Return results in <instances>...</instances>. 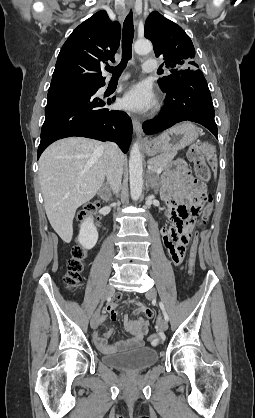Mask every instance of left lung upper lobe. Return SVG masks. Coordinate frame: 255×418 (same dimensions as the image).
Wrapping results in <instances>:
<instances>
[{"mask_svg":"<svg viewBox=\"0 0 255 418\" xmlns=\"http://www.w3.org/2000/svg\"><path fill=\"white\" fill-rule=\"evenodd\" d=\"M145 37L153 43L156 57H162L170 74L158 79L161 89L166 92L180 76L200 70L194 61L195 49L185 31L162 16L152 12L146 20Z\"/></svg>","mask_w":255,"mask_h":418,"instance_id":"left-lung-upper-lobe-1","label":"left lung upper lobe"}]
</instances>
